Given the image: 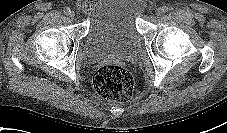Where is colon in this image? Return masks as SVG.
<instances>
[{"label": "colon", "mask_w": 227, "mask_h": 133, "mask_svg": "<svg viewBox=\"0 0 227 133\" xmlns=\"http://www.w3.org/2000/svg\"><path fill=\"white\" fill-rule=\"evenodd\" d=\"M93 84L96 92L106 99L127 101L133 94L131 73L119 64H105L97 69Z\"/></svg>", "instance_id": "colon-1"}]
</instances>
